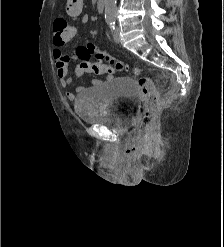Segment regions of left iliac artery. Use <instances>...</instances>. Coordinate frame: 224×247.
<instances>
[{
    "instance_id": "1",
    "label": "left iliac artery",
    "mask_w": 224,
    "mask_h": 247,
    "mask_svg": "<svg viewBox=\"0 0 224 247\" xmlns=\"http://www.w3.org/2000/svg\"><path fill=\"white\" fill-rule=\"evenodd\" d=\"M109 26H110L111 31L115 30V20L114 19H111Z\"/></svg>"
}]
</instances>
